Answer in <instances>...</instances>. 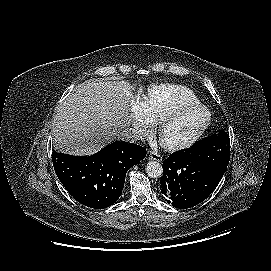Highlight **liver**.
Masks as SVG:
<instances>
[{"label":"liver","mask_w":271,"mask_h":271,"mask_svg":"<svg viewBox=\"0 0 271 271\" xmlns=\"http://www.w3.org/2000/svg\"><path fill=\"white\" fill-rule=\"evenodd\" d=\"M132 89L126 81L78 84L58 108L54 147L72 155H91L115 140L130 123Z\"/></svg>","instance_id":"6515ba94"}]
</instances>
